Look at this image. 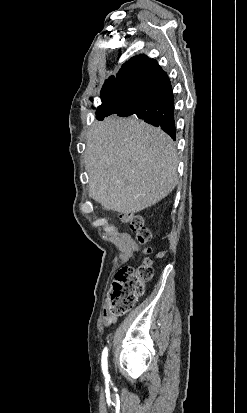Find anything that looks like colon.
I'll list each match as a JSON object with an SVG mask.
<instances>
[{"label": "colon", "instance_id": "colon-1", "mask_svg": "<svg viewBox=\"0 0 247 413\" xmlns=\"http://www.w3.org/2000/svg\"><path fill=\"white\" fill-rule=\"evenodd\" d=\"M122 219L128 223L130 230L134 232L139 243H148L152 240V232L145 225V220L141 215H123ZM153 274V265L149 260L136 266L121 269L116 275L115 281L111 284L110 313L112 315H123L130 311L139 298L144 295Z\"/></svg>", "mask_w": 247, "mask_h": 413}]
</instances>
